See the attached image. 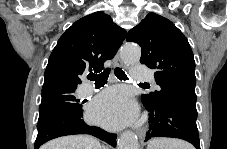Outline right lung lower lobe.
Listing matches in <instances>:
<instances>
[{
  "instance_id": "1",
  "label": "right lung lower lobe",
  "mask_w": 227,
  "mask_h": 149,
  "mask_svg": "<svg viewBox=\"0 0 227 149\" xmlns=\"http://www.w3.org/2000/svg\"><path fill=\"white\" fill-rule=\"evenodd\" d=\"M82 117L83 113L62 112L39 120L34 149L51 139L74 134L93 135L113 147L116 146V134L108 133L99 127L88 126Z\"/></svg>"
}]
</instances>
